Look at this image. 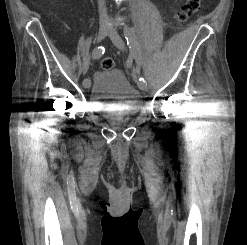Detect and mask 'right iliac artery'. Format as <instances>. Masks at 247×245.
<instances>
[{"instance_id": "1", "label": "right iliac artery", "mask_w": 247, "mask_h": 245, "mask_svg": "<svg viewBox=\"0 0 247 245\" xmlns=\"http://www.w3.org/2000/svg\"><path fill=\"white\" fill-rule=\"evenodd\" d=\"M105 52V48L103 46H99L97 48H95L93 51H92V54H91V57L93 59H99ZM82 79L84 80V76L87 75V70L90 66V63H89V58L88 59H85L84 62L82 63Z\"/></svg>"}]
</instances>
